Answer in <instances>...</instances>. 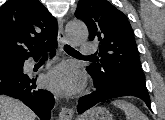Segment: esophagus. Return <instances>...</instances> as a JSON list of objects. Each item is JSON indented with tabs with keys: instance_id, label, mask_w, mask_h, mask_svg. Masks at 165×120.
Masks as SVG:
<instances>
[{
	"instance_id": "esophagus-1",
	"label": "esophagus",
	"mask_w": 165,
	"mask_h": 120,
	"mask_svg": "<svg viewBox=\"0 0 165 120\" xmlns=\"http://www.w3.org/2000/svg\"><path fill=\"white\" fill-rule=\"evenodd\" d=\"M58 38H59V47L60 49L63 48L65 44H67L68 40L66 38L64 27H63V20H58ZM74 114V110L68 107H62L59 112V119L60 120H71Z\"/></svg>"
}]
</instances>
